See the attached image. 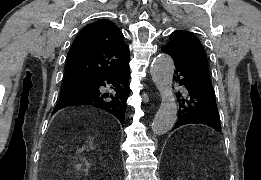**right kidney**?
<instances>
[{"mask_svg": "<svg viewBox=\"0 0 261 180\" xmlns=\"http://www.w3.org/2000/svg\"><path fill=\"white\" fill-rule=\"evenodd\" d=\"M84 166H89V164H87V162H86V164H84ZM76 168H77V170H81L80 164H79V166H76Z\"/></svg>", "mask_w": 261, "mask_h": 180, "instance_id": "obj_1", "label": "right kidney"}]
</instances>
